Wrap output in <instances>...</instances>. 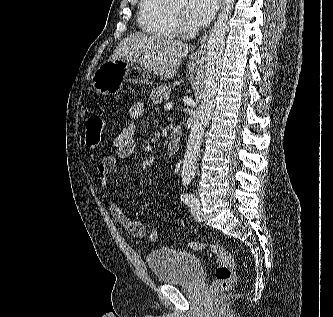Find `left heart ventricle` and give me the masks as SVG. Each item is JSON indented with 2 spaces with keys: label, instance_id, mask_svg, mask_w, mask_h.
I'll use <instances>...</instances> for the list:
<instances>
[{
  "label": "left heart ventricle",
  "instance_id": "1",
  "mask_svg": "<svg viewBox=\"0 0 333 317\" xmlns=\"http://www.w3.org/2000/svg\"><path fill=\"white\" fill-rule=\"evenodd\" d=\"M185 2L182 0H174L170 3L171 9L179 16H184Z\"/></svg>",
  "mask_w": 333,
  "mask_h": 317
}]
</instances>
